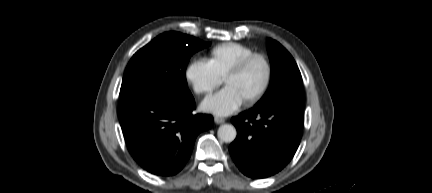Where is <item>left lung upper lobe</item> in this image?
Returning a JSON list of instances; mask_svg holds the SVG:
<instances>
[{
  "label": "left lung upper lobe",
  "instance_id": "5c2ea615",
  "mask_svg": "<svg viewBox=\"0 0 432 193\" xmlns=\"http://www.w3.org/2000/svg\"><path fill=\"white\" fill-rule=\"evenodd\" d=\"M271 80L267 93L256 106L281 104L304 108L301 73L289 52L277 41L267 39Z\"/></svg>",
  "mask_w": 432,
  "mask_h": 193
}]
</instances>
